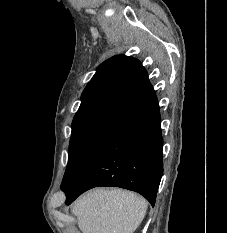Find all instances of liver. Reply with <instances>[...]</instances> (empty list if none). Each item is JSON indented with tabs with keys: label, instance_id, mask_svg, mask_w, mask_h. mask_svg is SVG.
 Masks as SVG:
<instances>
[{
	"label": "liver",
	"instance_id": "6515ba94",
	"mask_svg": "<svg viewBox=\"0 0 227 233\" xmlns=\"http://www.w3.org/2000/svg\"><path fill=\"white\" fill-rule=\"evenodd\" d=\"M147 212L144 198L121 189H95L79 197L72 213L82 233H134Z\"/></svg>",
	"mask_w": 227,
	"mask_h": 233
}]
</instances>
